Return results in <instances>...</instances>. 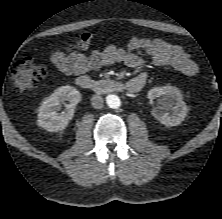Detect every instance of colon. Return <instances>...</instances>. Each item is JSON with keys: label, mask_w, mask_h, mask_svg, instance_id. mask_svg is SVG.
<instances>
[{"label": "colon", "mask_w": 222, "mask_h": 219, "mask_svg": "<svg viewBox=\"0 0 222 219\" xmlns=\"http://www.w3.org/2000/svg\"><path fill=\"white\" fill-rule=\"evenodd\" d=\"M47 74L45 65L36 63L30 57L22 58L12 69V88L17 93L34 89L47 77ZM212 85H216L214 79Z\"/></svg>", "instance_id": "5ec220e1"}]
</instances>
